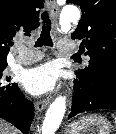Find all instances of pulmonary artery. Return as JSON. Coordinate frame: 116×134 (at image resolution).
<instances>
[{
    "label": "pulmonary artery",
    "instance_id": "e3ab8cb5",
    "mask_svg": "<svg viewBox=\"0 0 116 134\" xmlns=\"http://www.w3.org/2000/svg\"><path fill=\"white\" fill-rule=\"evenodd\" d=\"M15 49L17 51L15 62L18 64H31L43 58L41 52H29L20 42L15 45ZM58 50L62 53H74L78 50V44L71 40H60ZM86 60H88V57H86Z\"/></svg>",
    "mask_w": 116,
    "mask_h": 134
}]
</instances>
